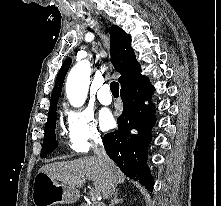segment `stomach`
Returning <instances> with one entry per match:
<instances>
[{
    "label": "stomach",
    "mask_w": 221,
    "mask_h": 206,
    "mask_svg": "<svg viewBox=\"0 0 221 206\" xmlns=\"http://www.w3.org/2000/svg\"><path fill=\"white\" fill-rule=\"evenodd\" d=\"M79 198L77 189L59 183L39 172L34 179L32 200L35 206H52L55 203H72Z\"/></svg>",
    "instance_id": "obj_1"
}]
</instances>
